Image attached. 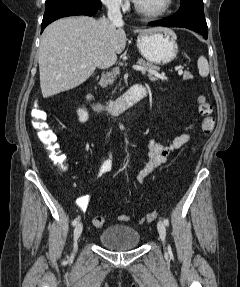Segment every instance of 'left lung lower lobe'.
I'll return each instance as SVG.
<instances>
[{"instance_id": "1", "label": "left lung lower lobe", "mask_w": 240, "mask_h": 287, "mask_svg": "<svg viewBox=\"0 0 240 287\" xmlns=\"http://www.w3.org/2000/svg\"><path fill=\"white\" fill-rule=\"evenodd\" d=\"M179 10L171 17L150 22L151 26L182 27L196 31L208 38V27L202 0H180Z\"/></svg>"}]
</instances>
